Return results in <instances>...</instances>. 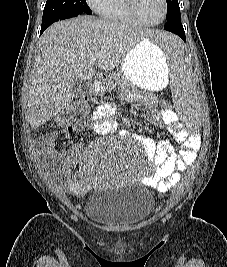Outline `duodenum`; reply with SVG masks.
<instances>
[{
	"label": "duodenum",
	"instance_id": "obj_1",
	"mask_svg": "<svg viewBox=\"0 0 227 267\" xmlns=\"http://www.w3.org/2000/svg\"><path fill=\"white\" fill-rule=\"evenodd\" d=\"M94 80H95V82L96 83H100V82H102V77H100V76H96L95 78H94Z\"/></svg>",
	"mask_w": 227,
	"mask_h": 267
}]
</instances>
